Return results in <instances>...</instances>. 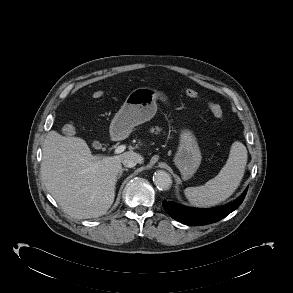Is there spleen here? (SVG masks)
I'll list each match as a JSON object with an SVG mask.
<instances>
[{"instance_id": "1", "label": "spleen", "mask_w": 293, "mask_h": 293, "mask_svg": "<svg viewBox=\"0 0 293 293\" xmlns=\"http://www.w3.org/2000/svg\"><path fill=\"white\" fill-rule=\"evenodd\" d=\"M247 164V149L239 141H235L229 158L219 174L198 187L184 190L188 201L197 207L215 206L228 199L239 187Z\"/></svg>"}]
</instances>
